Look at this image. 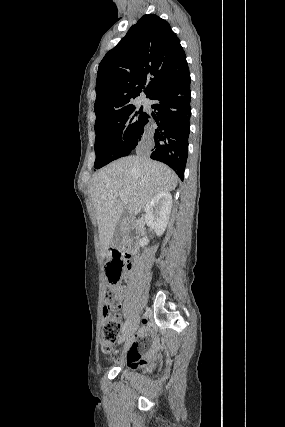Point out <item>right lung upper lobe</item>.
I'll list each match as a JSON object with an SVG mask.
<instances>
[{"instance_id": "obj_1", "label": "right lung upper lobe", "mask_w": 285, "mask_h": 427, "mask_svg": "<svg viewBox=\"0 0 285 427\" xmlns=\"http://www.w3.org/2000/svg\"><path fill=\"white\" fill-rule=\"evenodd\" d=\"M187 71L185 52L169 23L144 15L99 64L95 125L131 106L145 84L150 98Z\"/></svg>"}]
</instances>
